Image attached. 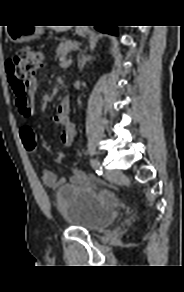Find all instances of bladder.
Wrapping results in <instances>:
<instances>
[{"label":"bladder","instance_id":"31cf9c89","mask_svg":"<svg viewBox=\"0 0 184 292\" xmlns=\"http://www.w3.org/2000/svg\"><path fill=\"white\" fill-rule=\"evenodd\" d=\"M56 208L63 220L75 228L98 232L116 218L118 198L89 184L65 185L55 194Z\"/></svg>","mask_w":184,"mask_h":292}]
</instances>
